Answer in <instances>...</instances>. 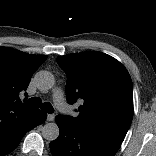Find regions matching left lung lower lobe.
<instances>
[{"instance_id":"0a47b994","label":"left lung lower lobe","mask_w":156,"mask_h":156,"mask_svg":"<svg viewBox=\"0 0 156 156\" xmlns=\"http://www.w3.org/2000/svg\"><path fill=\"white\" fill-rule=\"evenodd\" d=\"M59 137L50 143L53 156H114L121 143L101 133L77 128L63 115L56 117Z\"/></svg>"}]
</instances>
